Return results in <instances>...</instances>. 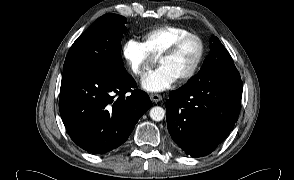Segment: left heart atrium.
<instances>
[{
  "label": "left heart atrium",
  "instance_id": "39dd6f15",
  "mask_svg": "<svg viewBox=\"0 0 294 180\" xmlns=\"http://www.w3.org/2000/svg\"><path fill=\"white\" fill-rule=\"evenodd\" d=\"M177 79L163 66L145 75L141 80L143 89L150 92H161L169 89Z\"/></svg>",
  "mask_w": 294,
  "mask_h": 180
}]
</instances>
